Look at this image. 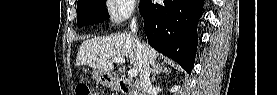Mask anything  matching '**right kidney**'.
<instances>
[{
  "label": "right kidney",
  "instance_id": "right-kidney-1",
  "mask_svg": "<svg viewBox=\"0 0 277 95\" xmlns=\"http://www.w3.org/2000/svg\"><path fill=\"white\" fill-rule=\"evenodd\" d=\"M176 89H177V87L175 89L173 88L171 91H175Z\"/></svg>",
  "mask_w": 277,
  "mask_h": 95
}]
</instances>
